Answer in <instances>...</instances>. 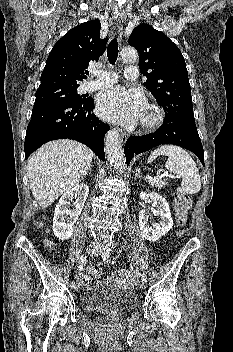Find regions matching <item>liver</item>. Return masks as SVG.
<instances>
[{
  "label": "liver",
  "instance_id": "1",
  "mask_svg": "<svg viewBox=\"0 0 233 352\" xmlns=\"http://www.w3.org/2000/svg\"><path fill=\"white\" fill-rule=\"evenodd\" d=\"M94 153L85 145L68 139L51 141L28 159L27 173L35 200L47 208L83 180Z\"/></svg>",
  "mask_w": 233,
  "mask_h": 352
}]
</instances>
